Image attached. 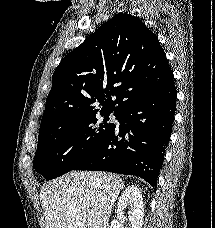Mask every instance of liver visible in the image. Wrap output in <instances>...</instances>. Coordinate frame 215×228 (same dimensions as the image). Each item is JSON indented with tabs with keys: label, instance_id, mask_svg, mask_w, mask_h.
<instances>
[{
	"label": "liver",
	"instance_id": "1",
	"mask_svg": "<svg viewBox=\"0 0 215 228\" xmlns=\"http://www.w3.org/2000/svg\"><path fill=\"white\" fill-rule=\"evenodd\" d=\"M123 188L121 178L109 172H68L47 182L40 190L46 228H109Z\"/></svg>",
	"mask_w": 215,
	"mask_h": 228
}]
</instances>
